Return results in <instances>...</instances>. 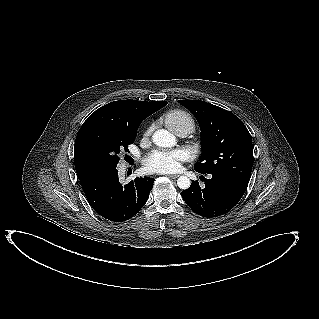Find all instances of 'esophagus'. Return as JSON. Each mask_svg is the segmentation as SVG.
Masks as SVG:
<instances>
[{
    "label": "esophagus",
    "mask_w": 319,
    "mask_h": 319,
    "mask_svg": "<svg viewBox=\"0 0 319 319\" xmlns=\"http://www.w3.org/2000/svg\"><path fill=\"white\" fill-rule=\"evenodd\" d=\"M169 178H173V179H175V178H178L179 177V175H177V174H173V175H167Z\"/></svg>",
    "instance_id": "obj_1"
}]
</instances>
